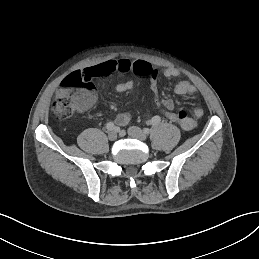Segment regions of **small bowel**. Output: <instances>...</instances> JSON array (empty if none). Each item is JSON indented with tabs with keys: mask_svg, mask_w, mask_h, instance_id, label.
I'll return each mask as SVG.
<instances>
[{
	"mask_svg": "<svg viewBox=\"0 0 259 259\" xmlns=\"http://www.w3.org/2000/svg\"><path fill=\"white\" fill-rule=\"evenodd\" d=\"M135 73L139 76L147 77L151 84L152 92L156 97L157 105L161 108L162 112L168 117L174 110V103L170 99H159L157 97V79L158 70L150 63L144 60L131 61L128 59L108 60L100 64L85 68L80 74L86 80L91 82L93 79L106 76L109 74H127ZM166 78H174L179 75L178 70L174 68H167L163 72ZM134 87L133 82L125 81L117 84L116 90L124 93L132 90ZM175 92L182 96H193L196 93V88L187 81H180L175 86ZM204 111L200 107H196L192 111V116H188L185 122L181 124L184 130H192L197 126L198 120L203 116ZM131 120L129 113L124 112L119 114L115 122L119 126H126Z\"/></svg>",
	"mask_w": 259,
	"mask_h": 259,
	"instance_id": "1",
	"label": "small bowel"
}]
</instances>
